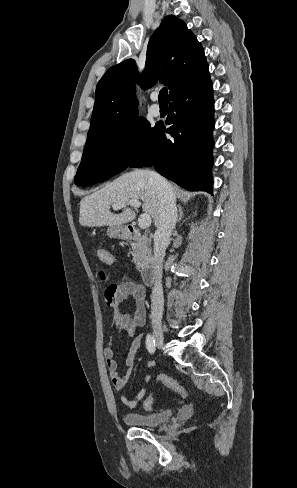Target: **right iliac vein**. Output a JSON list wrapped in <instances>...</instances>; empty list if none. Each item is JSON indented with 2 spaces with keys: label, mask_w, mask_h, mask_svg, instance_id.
<instances>
[{
  "label": "right iliac vein",
  "mask_w": 297,
  "mask_h": 488,
  "mask_svg": "<svg viewBox=\"0 0 297 488\" xmlns=\"http://www.w3.org/2000/svg\"><path fill=\"white\" fill-rule=\"evenodd\" d=\"M153 327V336L158 348L164 347V335L161 322L159 320H153L152 322Z\"/></svg>",
  "instance_id": "right-iliac-vein-1"
}]
</instances>
